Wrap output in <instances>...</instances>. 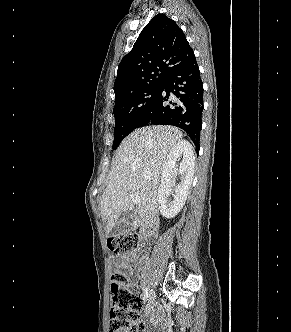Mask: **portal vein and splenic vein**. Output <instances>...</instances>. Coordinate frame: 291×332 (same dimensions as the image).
I'll return each mask as SVG.
<instances>
[{"label":"portal vein and splenic vein","mask_w":291,"mask_h":332,"mask_svg":"<svg viewBox=\"0 0 291 332\" xmlns=\"http://www.w3.org/2000/svg\"><path fill=\"white\" fill-rule=\"evenodd\" d=\"M130 198L134 204H138L141 201V199L138 195L130 194Z\"/></svg>","instance_id":"obj_1"}]
</instances>
